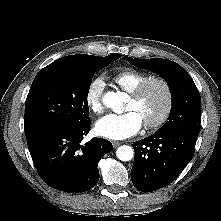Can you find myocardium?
Segmentation results:
<instances>
[{
    "label": "myocardium",
    "mask_w": 221,
    "mask_h": 221,
    "mask_svg": "<svg viewBox=\"0 0 221 221\" xmlns=\"http://www.w3.org/2000/svg\"><path fill=\"white\" fill-rule=\"evenodd\" d=\"M153 84H159L165 93V106L162 113L153 121L143 123L148 130H154L161 127L170 117L174 105V93L170 82L159 76L149 77L139 84L131 93L130 98L134 101L141 99L145 91Z\"/></svg>",
    "instance_id": "1"
}]
</instances>
